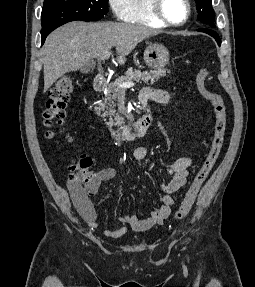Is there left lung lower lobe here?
Masks as SVG:
<instances>
[{"label":"left lung lower lobe","instance_id":"0a47b994","mask_svg":"<svg viewBox=\"0 0 255 287\" xmlns=\"http://www.w3.org/2000/svg\"><path fill=\"white\" fill-rule=\"evenodd\" d=\"M198 31L204 32V33H207V34L211 35L212 37L215 38V40L217 41L218 45L219 46L221 45V40H220L218 34L215 31L209 30V29H198Z\"/></svg>","mask_w":255,"mask_h":287}]
</instances>
